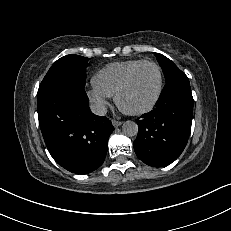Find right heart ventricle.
<instances>
[{
  "instance_id": "e07e8e85",
  "label": "right heart ventricle",
  "mask_w": 231,
  "mask_h": 231,
  "mask_svg": "<svg viewBox=\"0 0 231 231\" xmlns=\"http://www.w3.org/2000/svg\"><path fill=\"white\" fill-rule=\"evenodd\" d=\"M141 61L130 59L107 64L95 74L94 85L108 96H114L127 73Z\"/></svg>"
}]
</instances>
